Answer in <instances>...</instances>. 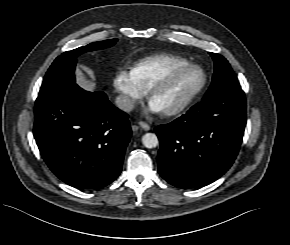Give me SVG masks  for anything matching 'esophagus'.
<instances>
[{
  "mask_svg": "<svg viewBox=\"0 0 290 245\" xmlns=\"http://www.w3.org/2000/svg\"><path fill=\"white\" fill-rule=\"evenodd\" d=\"M138 125H139L142 129H144L145 131L150 130V126H149L147 123L143 122V121L138 122Z\"/></svg>",
  "mask_w": 290,
  "mask_h": 245,
  "instance_id": "obj_1",
  "label": "esophagus"
}]
</instances>
